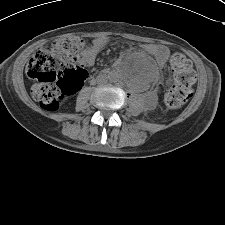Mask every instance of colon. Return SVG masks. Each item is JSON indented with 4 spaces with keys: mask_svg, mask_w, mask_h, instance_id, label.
<instances>
[{
    "mask_svg": "<svg viewBox=\"0 0 225 225\" xmlns=\"http://www.w3.org/2000/svg\"><path fill=\"white\" fill-rule=\"evenodd\" d=\"M84 41L77 37H61L51 47L36 52L30 59L26 73L35 81L33 98L47 111L57 110L66 96L77 92L87 78V72L76 65ZM173 85L164 97L166 107L183 106L193 95L194 72L190 61L180 53L170 58ZM64 75L59 79L60 72Z\"/></svg>",
    "mask_w": 225,
    "mask_h": 225,
    "instance_id": "colon-1",
    "label": "colon"
}]
</instances>
